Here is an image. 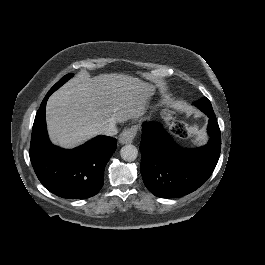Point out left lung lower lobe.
I'll return each instance as SVG.
<instances>
[{
    "label": "left lung lower lobe",
    "mask_w": 265,
    "mask_h": 265,
    "mask_svg": "<svg viewBox=\"0 0 265 265\" xmlns=\"http://www.w3.org/2000/svg\"><path fill=\"white\" fill-rule=\"evenodd\" d=\"M193 105L209 117L210 139L203 147L180 148L158 123L142 125L140 170L145 186L158 197H182L195 191L211 176L218 162L220 129L211 103L204 97Z\"/></svg>",
    "instance_id": "left-lung-lower-lobe-1"
}]
</instances>
